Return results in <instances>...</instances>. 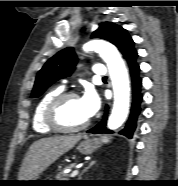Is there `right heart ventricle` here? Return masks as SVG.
I'll return each mask as SVG.
<instances>
[{
	"label": "right heart ventricle",
	"mask_w": 178,
	"mask_h": 186,
	"mask_svg": "<svg viewBox=\"0 0 178 186\" xmlns=\"http://www.w3.org/2000/svg\"><path fill=\"white\" fill-rule=\"evenodd\" d=\"M60 93H62V88H55L46 93L36 104L32 115V127L35 132L39 134H50L53 132L45 125L43 113L46 105Z\"/></svg>",
	"instance_id": "right-heart-ventricle-1"
}]
</instances>
